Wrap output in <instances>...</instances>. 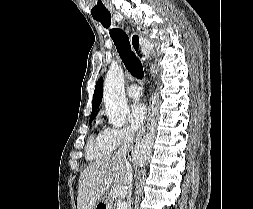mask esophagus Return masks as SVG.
<instances>
[{
  "instance_id": "obj_1",
  "label": "esophagus",
  "mask_w": 253,
  "mask_h": 209,
  "mask_svg": "<svg viewBox=\"0 0 253 209\" xmlns=\"http://www.w3.org/2000/svg\"><path fill=\"white\" fill-rule=\"evenodd\" d=\"M130 39H131L133 49L136 50L135 49L136 46H138V49H139L140 43H141V36L137 33H131ZM154 122H155V106H154V102L150 101L149 107H148L147 123L145 127L142 129L141 133L136 138V141H135L136 144L142 139V137L145 136L147 130L153 126ZM129 157H132V158L134 157V146H131L130 148Z\"/></svg>"
}]
</instances>
